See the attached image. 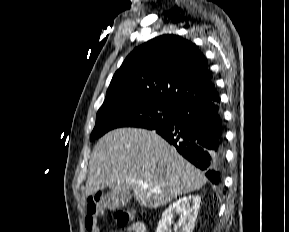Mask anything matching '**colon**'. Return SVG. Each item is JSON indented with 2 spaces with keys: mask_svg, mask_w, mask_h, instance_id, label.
<instances>
[{
  "mask_svg": "<svg viewBox=\"0 0 289 232\" xmlns=\"http://www.w3.org/2000/svg\"><path fill=\"white\" fill-rule=\"evenodd\" d=\"M101 212V198L99 196L89 198L86 204L84 220L88 232H99L97 227V218ZM113 217L116 224L123 228L130 223L132 219V211L129 209H116L113 211Z\"/></svg>",
  "mask_w": 289,
  "mask_h": 232,
  "instance_id": "colon-1",
  "label": "colon"
}]
</instances>
